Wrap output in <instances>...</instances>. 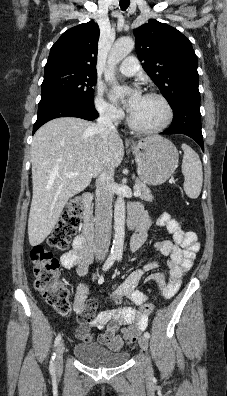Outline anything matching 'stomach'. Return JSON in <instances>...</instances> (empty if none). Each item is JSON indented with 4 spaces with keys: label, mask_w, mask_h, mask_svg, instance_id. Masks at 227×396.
<instances>
[{
    "label": "stomach",
    "mask_w": 227,
    "mask_h": 396,
    "mask_svg": "<svg viewBox=\"0 0 227 396\" xmlns=\"http://www.w3.org/2000/svg\"><path fill=\"white\" fill-rule=\"evenodd\" d=\"M131 150L137 162L139 179L145 184L161 185L177 168L178 151L171 141L161 136H151L133 143Z\"/></svg>",
    "instance_id": "0dacf381"
}]
</instances>
